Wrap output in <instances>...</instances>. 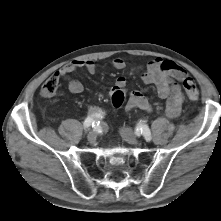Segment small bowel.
<instances>
[{
	"label": "small bowel",
	"mask_w": 221,
	"mask_h": 221,
	"mask_svg": "<svg viewBox=\"0 0 221 221\" xmlns=\"http://www.w3.org/2000/svg\"><path fill=\"white\" fill-rule=\"evenodd\" d=\"M112 66L117 70L126 67V62L122 58H115ZM84 68L89 74L97 72V64L93 60H76L67 64L54 73L58 79H64L67 82L68 90L73 94H79L83 91V85L80 81L70 77V74L76 69ZM187 77L185 70L175 62L167 59L156 58L151 60L142 75V80L147 85H153L156 88L157 95L166 101L165 112L171 118L177 117L182 109L185 94L181 86L175 81H183ZM126 79L119 76L112 86L110 93L115 89L125 91ZM126 109H140L146 112L152 110L150 101L139 91L129 93Z\"/></svg>",
	"instance_id": "c3829d8e"
}]
</instances>
